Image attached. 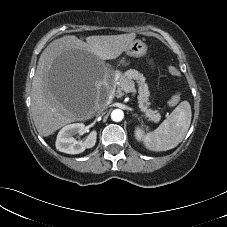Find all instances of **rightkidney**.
Here are the masks:
<instances>
[{
	"label": "right kidney",
	"instance_id": "1",
	"mask_svg": "<svg viewBox=\"0 0 227 227\" xmlns=\"http://www.w3.org/2000/svg\"><path fill=\"white\" fill-rule=\"evenodd\" d=\"M86 132V127L83 123H73L63 127L56 139V148L64 153L79 154L87 148H92L96 143L97 132L92 131L85 141H77L74 136L83 135Z\"/></svg>",
	"mask_w": 227,
	"mask_h": 227
}]
</instances>
